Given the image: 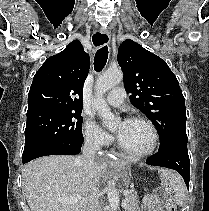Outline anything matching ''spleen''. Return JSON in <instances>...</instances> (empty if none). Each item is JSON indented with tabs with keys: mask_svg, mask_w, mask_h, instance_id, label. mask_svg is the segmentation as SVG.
I'll use <instances>...</instances> for the list:
<instances>
[{
	"mask_svg": "<svg viewBox=\"0 0 209 211\" xmlns=\"http://www.w3.org/2000/svg\"><path fill=\"white\" fill-rule=\"evenodd\" d=\"M161 174L169 181L174 193L176 202L179 206H183L185 201V185L182 179L171 170L161 169Z\"/></svg>",
	"mask_w": 209,
	"mask_h": 211,
	"instance_id": "spleen-1",
	"label": "spleen"
}]
</instances>
